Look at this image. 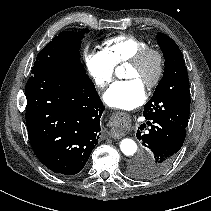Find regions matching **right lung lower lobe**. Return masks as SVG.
Segmentation results:
<instances>
[{
    "instance_id": "obj_1",
    "label": "right lung lower lobe",
    "mask_w": 211,
    "mask_h": 211,
    "mask_svg": "<svg viewBox=\"0 0 211 211\" xmlns=\"http://www.w3.org/2000/svg\"><path fill=\"white\" fill-rule=\"evenodd\" d=\"M25 92L30 143L40 162L55 173L75 175L98 144L105 110L86 73L57 54H38Z\"/></svg>"
}]
</instances>
